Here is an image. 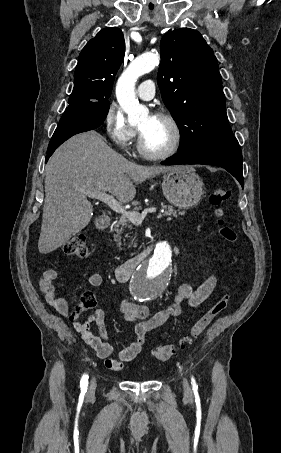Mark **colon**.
Here are the masks:
<instances>
[{
    "mask_svg": "<svg viewBox=\"0 0 281 453\" xmlns=\"http://www.w3.org/2000/svg\"><path fill=\"white\" fill-rule=\"evenodd\" d=\"M230 195V188L227 185H218L213 189L210 196V203L217 207L222 208L225 206L227 199ZM216 229L220 238L226 243L232 244L237 240L235 231L226 223L223 216L218 217L216 221ZM63 255L67 257H84L88 253V246L84 239L73 238L60 247ZM230 305V297L224 295L217 301L206 308L200 315L199 319L193 324L191 329L183 335L180 340V345L189 344L197 340L209 328L212 322ZM175 346L167 345L155 350L154 356L158 363L169 362L175 354Z\"/></svg>",
    "mask_w": 281,
    "mask_h": 453,
    "instance_id": "obj_1",
    "label": "colon"
}]
</instances>
